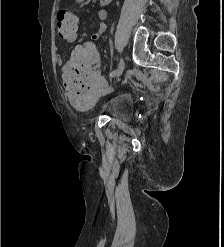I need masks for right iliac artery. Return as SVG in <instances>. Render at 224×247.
Returning <instances> with one entry per match:
<instances>
[{"label":"right iliac artery","mask_w":224,"mask_h":247,"mask_svg":"<svg viewBox=\"0 0 224 247\" xmlns=\"http://www.w3.org/2000/svg\"><path fill=\"white\" fill-rule=\"evenodd\" d=\"M115 73H116V70L112 71V72L110 73V77H114V76H115Z\"/></svg>","instance_id":"right-iliac-artery-1"}]
</instances>
